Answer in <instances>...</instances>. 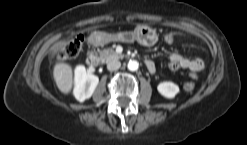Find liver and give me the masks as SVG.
Wrapping results in <instances>:
<instances>
[{
    "instance_id": "1",
    "label": "liver",
    "mask_w": 247,
    "mask_h": 145,
    "mask_svg": "<svg viewBox=\"0 0 247 145\" xmlns=\"http://www.w3.org/2000/svg\"><path fill=\"white\" fill-rule=\"evenodd\" d=\"M53 77L60 92L69 94L73 86L72 67L67 63H55Z\"/></svg>"
}]
</instances>
